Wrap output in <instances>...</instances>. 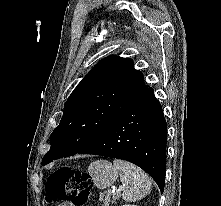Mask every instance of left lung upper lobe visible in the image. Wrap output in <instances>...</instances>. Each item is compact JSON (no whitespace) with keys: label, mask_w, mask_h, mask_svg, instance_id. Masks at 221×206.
<instances>
[{"label":"left lung upper lobe","mask_w":221,"mask_h":206,"mask_svg":"<svg viewBox=\"0 0 221 206\" xmlns=\"http://www.w3.org/2000/svg\"><path fill=\"white\" fill-rule=\"evenodd\" d=\"M147 89L131 59L112 55L99 61L65 103L42 165L88 146Z\"/></svg>","instance_id":"5c2ea615"}]
</instances>
